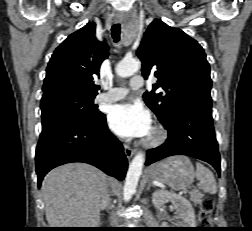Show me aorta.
Wrapping results in <instances>:
<instances>
[{"instance_id":"obj_1","label":"aorta","mask_w":252,"mask_h":231,"mask_svg":"<svg viewBox=\"0 0 252 231\" xmlns=\"http://www.w3.org/2000/svg\"><path fill=\"white\" fill-rule=\"evenodd\" d=\"M141 67V64L136 59H124L116 66V73L119 77H129L136 73ZM145 155L138 152L129 165L126 181L123 188V199L129 201L132 195L136 192L139 178L142 174Z\"/></svg>"}]
</instances>
